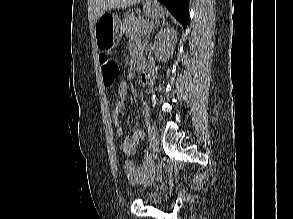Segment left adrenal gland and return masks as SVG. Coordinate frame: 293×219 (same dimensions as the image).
I'll use <instances>...</instances> for the list:
<instances>
[{
  "label": "left adrenal gland",
  "instance_id": "a2214340",
  "mask_svg": "<svg viewBox=\"0 0 293 219\" xmlns=\"http://www.w3.org/2000/svg\"><path fill=\"white\" fill-rule=\"evenodd\" d=\"M158 25H159V23L156 24V27H155V28H157ZM162 25H168V23L165 22V20H163V21H162ZM152 31H154V30H150V31H149V33H148V35H147V38L150 37V34H151Z\"/></svg>",
  "mask_w": 293,
  "mask_h": 219
}]
</instances>
